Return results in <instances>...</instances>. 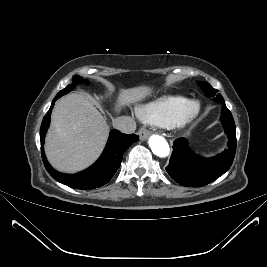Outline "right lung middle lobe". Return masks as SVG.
I'll return each mask as SVG.
<instances>
[{
  "label": "right lung middle lobe",
  "mask_w": 267,
  "mask_h": 267,
  "mask_svg": "<svg viewBox=\"0 0 267 267\" xmlns=\"http://www.w3.org/2000/svg\"><path fill=\"white\" fill-rule=\"evenodd\" d=\"M82 78L80 76H74L73 77V84L72 85H68L66 88H64L63 90H61L57 95L59 97L69 93L71 90H73V88L80 82H82Z\"/></svg>",
  "instance_id": "right-lung-middle-lobe-1"
}]
</instances>
